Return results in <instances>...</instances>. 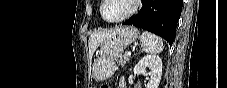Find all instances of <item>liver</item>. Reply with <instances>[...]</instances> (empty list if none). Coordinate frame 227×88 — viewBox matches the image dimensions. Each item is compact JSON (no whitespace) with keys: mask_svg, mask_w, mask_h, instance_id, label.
<instances>
[{"mask_svg":"<svg viewBox=\"0 0 227 88\" xmlns=\"http://www.w3.org/2000/svg\"><path fill=\"white\" fill-rule=\"evenodd\" d=\"M111 34V31L94 32L89 37V55L93 56L98 46Z\"/></svg>","mask_w":227,"mask_h":88,"instance_id":"liver-1","label":"liver"}]
</instances>
